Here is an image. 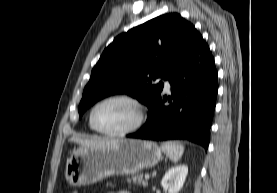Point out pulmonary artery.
Here are the masks:
<instances>
[{
  "instance_id": "e3ab8cb5",
  "label": "pulmonary artery",
  "mask_w": 277,
  "mask_h": 193,
  "mask_svg": "<svg viewBox=\"0 0 277 193\" xmlns=\"http://www.w3.org/2000/svg\"><path fill=\"white\" fill-rule=\"evenodd\" d=\"M159 81H161L164 84L165 90H167V91L170 90L171 85H170V82L167 79L160 78Z\"/></svg>"
}]
</instances>
